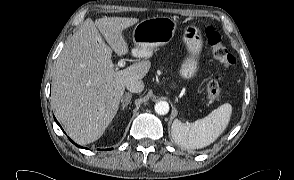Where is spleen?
<instances>
[{
	"label": "spleen",
	"instance_id": "1",
	"mask_svg": "<svg viewBox=\"0 0 294 180\" xmlns=\"http://www.w3.org/2000/svg\"><path fill=\"white\" fill-rule=\"evenodd\" d=\"M232 107L225 103L209 115L193 123H182L175 119L171 134L174 141L185 149H200L213 143L227 127Z\"/></svg>",
	"mask_w": 294,
	"mask_h": 180
}]
</instances>
